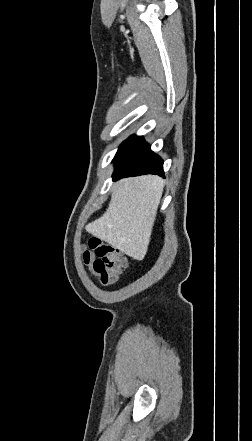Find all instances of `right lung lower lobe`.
<instances>
[{
  "instance_id": "1",
  "label": "right lung lower lobe",
  "mask_w": 252,
  "mask_h": 441,
  "mask_svg": "<svg viewBox=\"0 0 252 441\" xmlns=\"http://www.w3.org/2000/svg\"><path fill=\"white\" fill-rule=\"evenodd\" d=\"M114 180L144 174L163 175V161L154 154L142 137L131 136L118 151L115 159Z\"/></svg>"
}]
</instances>
